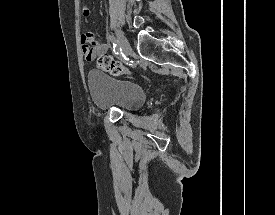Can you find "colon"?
<instances>
[{"mask_svg": "<svg viewBox=\"0 0 275 215\" xmlns=\"http://www.w3.org/2000/svg\"><path fill=\"white\" fill-rule=\"evenodd\" d=\"M82 1L85 2V0ZM83 6H85V4ZM97 67L111 74L112 76H119L122 73L132 72L129 68L125 67L120 61L114 59L108 54H102L98 56Z\"/></svg>", "mask_w": 275, "mask_h": 215, "instance_id": "1", "label": "colon"}]
</instances>
